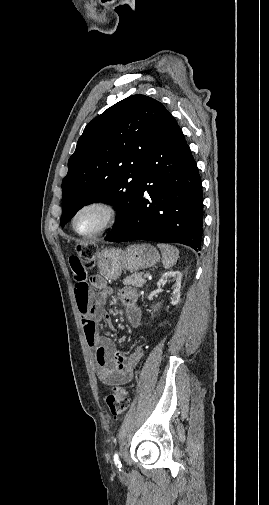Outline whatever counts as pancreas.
Instances as JSON below:
<instances>
[{
	"instance_id": "obj_1",
	"label": "pancreas",
	"mask_w": 269,
	"mask_h": 505,
	"mask_svg": "<svg viewBox=\"0 0 269 505\" xmlns=\"http://www.w3.org/2000/svg\"><path fill=\"white\" fill-rule=\"evenodd\" d=\"M142 273H134L130 276H127L123 284L124 285H132L134 287H143V285L146 283V280L142 278Z\"/></svg>"
}]
</instances>
